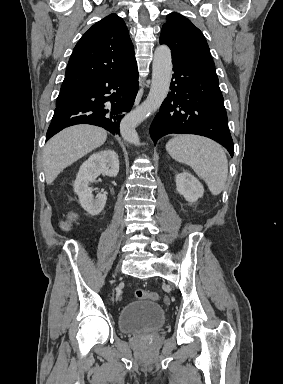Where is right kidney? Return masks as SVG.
I'll use <instances>...</instances> for the list:
<instances>
[{"label": "right kidney", "instance_id": "right-kidney-1", "mask_svg": "<svg viewBox=\"0 0 283 384\" xmlns=\"http://www.w3.org/2000/svg\"><path fill=\"white\" fill-rule=\"evenodd\" d=\"M119 172V160L114 150H104V152H97L92 154L89 160L83 162L74 182V192L79 198V202L90 214V216H98L102 212L107 196L106 194H97L94 198L92 192L93 188H89L90 184L96 182V178L100 174L115 178Z\"/></svg>", "mask_w": 283, "mask_h": 384}]
</instances>
